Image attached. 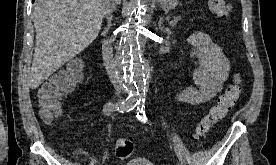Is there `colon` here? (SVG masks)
Returning <instances> with one entry per match:
<instances>
[{
  "label": "colon",
  "mask_w": 276,
  "mask_h": 165,
  "mask_svg": "<svg viewBox=\"0 0 276 165\" xmlns=\"http://www.w3.org/2000/svg\"><path fill=\"white\" fill-rule=\"evenodd\" d=\"M209 10L220 18H227L231 6L225 0H207ZM82 67L80 63H72L57 72L45 82L37 93L40 115L46 122H52L62 113L61 95L70 90L74 83L81 78ZM241 94V76L236 73L233 82L217 98L216 104L197 123L194 129L195 139H200L234 107ZM134 151L130 139L120 138L116 142V155L120 159L129 158Z\"/></svg>",
  "instance_id": "obj_1"
}]
</instances>
